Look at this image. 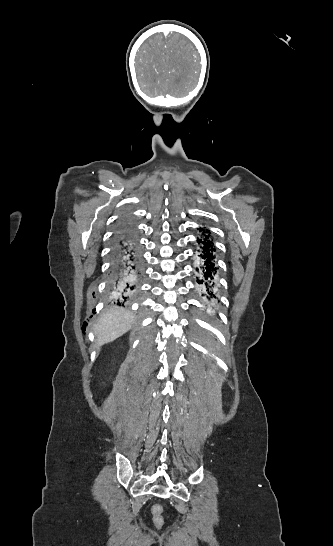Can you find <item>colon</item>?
Here are the masks:
<instances>
[{
    "label": "colon",
    "instance_id": "5ec220e1",
    "mask_svg": "<svg viewBox=\"0 0 333 546\" xmlns=\"http://www.w3.org/2000/svg\"><path fill=\"white\" fill-rule=\"evenodd\" d=\"M153 514V523L157 528H161L164 525L163 508L159 504H154L151 508Z\"/></svg>",
    "mask_w": 333,
    "mask_h": 546
}]
</instances>
